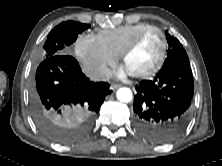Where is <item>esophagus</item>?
Returning a JSON list of instances; mask_svg holds the SVG:
<instances>
[{"label": "esophagus", "instance_id": "34e87169", "mask_svg": "<svg viewBox=\"0 0 222 166\" xmlns=\"http://www.w3.org/2000/svg\"><path fill=\"white\" fill-rule=\"evenodd\" d=\"M119 87H120V85H118V84H112V85L110 86V89L113 90V91H115V90H117Z\"/></svg>", "mask_w": 222, "mask_h": 166}]
</instances>
